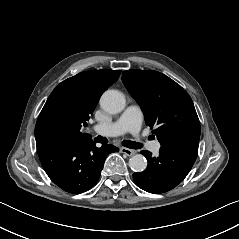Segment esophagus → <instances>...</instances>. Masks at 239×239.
<instances>
[{
	"mask_svg": "<svg viewBox=\"0 0 239 239\" xmlns=\"http://www.w3.org/2000/svg\"><path fill=\"white\" fill-rule=\"evenodd\" d=\"M120 152L126 154L127 156H133L136 153V151L124 147L120 149Z\"/></svg>",
	"mask_w": 239,
	"mask_h": 239,
	"instance_id": "1",
	"label": "esophagus"
}]
</instances>
